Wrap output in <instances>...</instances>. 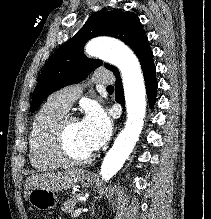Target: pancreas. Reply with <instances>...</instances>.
Masks as SVG:
<instances>
[{
	"label": "pancreas",
	"mask_w": 211,
	"mask_h": 219,
	"mask_svg": "<svg viewBox=\"0 0 211 219\" xmlns=\"http://www.w3.org/2000/svg\"><path fill=\"white\" fill-rule=\"evenodd\" d=\"M80 195L77 194L72 198L68 199L62 206L61 210L65 213H72L74 212L75 205L78 203Z\"/></svg>",
	"instance_id": "1"
}]
</instances>
